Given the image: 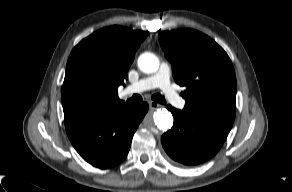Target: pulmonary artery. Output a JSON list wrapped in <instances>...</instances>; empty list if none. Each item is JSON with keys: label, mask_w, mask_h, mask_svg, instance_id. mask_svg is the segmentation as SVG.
I'll return each instance as SVG.
<instances>
[{"label": "pulmonary artery", "mask_w": 292, "mask_h": 192, "mask_svg": "<svg viewBox=\"0 0 292 192\" xmlns=\"http://www.w3.org/2000/svg\"><path fill=\"white\" fill-rule=\"evenodd\" d=\"M171 68L166 62H162L156 73L143 78L129 85L125 93H139L155 88H159L165 95V98L175 107L184 108L185 100L173 89L170 82Z\"/></svg>", "instance_id": "e3ab8cb5"}]
</instances>
